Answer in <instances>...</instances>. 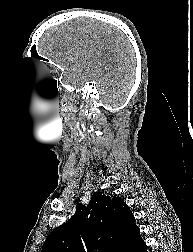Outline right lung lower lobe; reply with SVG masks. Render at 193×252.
I'll use <instances>...</instances> for the list:
<instances>
[{"mask_svg":"<svg viewBox=\"0 0 193 252\" xmlns=\"http://www.w3.org/2000/svg\"><path fill=\"white\" fill-rule=\"evenodd\" d=\"M119 252H147L146 244L140 236V230L128 240Z\"/></svg>","mask_w":193,"mask_h":252,"instance_id":"1","label":"right lung lower lobe"}]
</instances>
